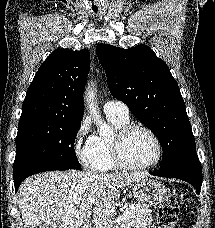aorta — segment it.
<instances>
[{"mask_svg":"<svg viewBox=\"0 0 215 228\" xmlns=\"http://www.w3.org/2000/svg\"><path fill=\"white\" fill-rule=\"evenodd\" d=\"M93 98L94 94L92 90H87L84 100L89 106L90 114L94 120V124H96L98 128L99 134H104V132H108L109 126L105 124L104 120H102V116H100V112H97V108H95L94 104H92Z\"/></svg>","mask_w":215,"mask_h":228,"instance_id":"1","label":"aorta"}]
</instances>
